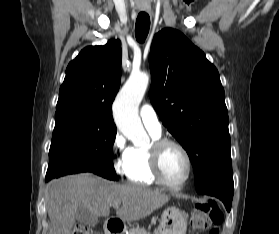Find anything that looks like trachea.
<instances>
[{
	"label": "trachea",
	"mask_w": 279,
	"mask_h": 234,
	"mask_svg": "<svg viewBox=\"0 0 279 234\" xmlns=\"http://www.w3.org/2000/svg\"><path fill=\"white\" fill-rule=\"evenodd\" d=\"M150 28V17L145 12H140L136 19L135 36L138 42L143 43Z\"/></svg>",
	"instance_id": "1"
}]
</instances>
